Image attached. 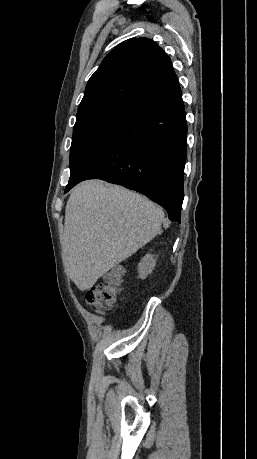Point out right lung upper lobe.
<instances>
[{"label":"right lung upper lobe","instance_id":"obj_1","mask_svg":"<svg viewBox=\"0 0 257 459\" xmlns=\"http://www.w3.org/2000/svg\"><path fill=\"white\" fill-rule=\"evenodd\" d=\"M177 84L163 49L150 39L131 38L115 47L91 76L77 117L111 106L137 111Z\"/></svg>","mask_w":257,"mask_h":459}]
</instances>
